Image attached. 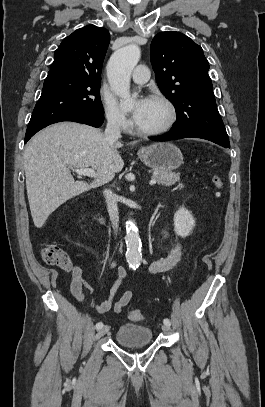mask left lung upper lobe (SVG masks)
Instances as JSON below:
<instances>
[{"mask_svg":"<svg viewBox=\"0 0 265 407\" xmlns=\"http://www.w3.org/2000/svg\"><path fill=\"white\" fill-rule=\"evenodd\" d=\"M150 58L161 92L176 108L171 132H191L229 143L201 46L182 33L161 32L151 42Z\"/></svg>","mask_w":265,"mask_h":407,"instance_id":"5c2ea615","label":"left lung upper lobe"}]
</instances>
